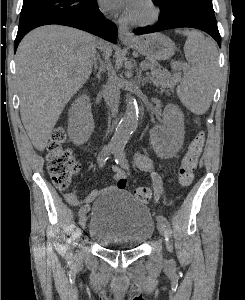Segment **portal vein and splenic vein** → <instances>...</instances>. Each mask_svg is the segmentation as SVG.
<instances>
[{"instance_id":"obj_1","label":"portal vein and splenic vein","mask_w":245,"mask_h":300,"mask_svg":"<svg viewBox=\"0 0 245 300\" xmlns=\"http://www.w3.org/2000/svg\"><path fill=\"white\" fill-rule=\"evenodd\" d=\"M179 64H180V63H179ZM141 66L144 67V68H148V64H146V63H144V62L141 63Z\"/></svg>"}]
</instances>
